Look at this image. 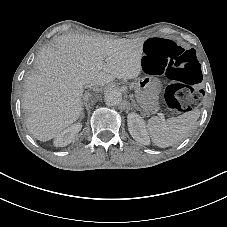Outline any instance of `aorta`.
Listing matches in <instances>:
<instances>
[{
	"label": "aorta",
	"mask_w": 227,
	"mask_h": 227,
	"mask_svg": "<svg viewBox=\"0 0 227 227\" xmlns=\"http://www.w3.org/2000/svg\"><path fill=\"white\" fill-rule=\"evenodd\" d=\"M104 101L107 106H115L121 103L122 95L119 91L111 90L105 94Z\"/></svg>",
	"instance_id": "1"
}]
</instances>
